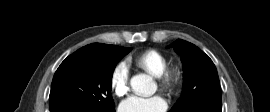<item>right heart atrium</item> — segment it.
<instances>
[{
  "label": "right heart atrium",
  "instance_id": "right-heart-atrium-1",
  "mask_svg": "<svg viewBox=\"0 0 270 112\" xmlns=\"http://www.w3.org/2000/svg\"><path fill=\"white\" fill-rule=\"evenodd\" d=\"M111 92L115 97H122L129 90V70L124 62L116 64L109 78Z\"/></svg>",
  "mask_w": 270,
  "mask_h": 112
}]
</instances>
